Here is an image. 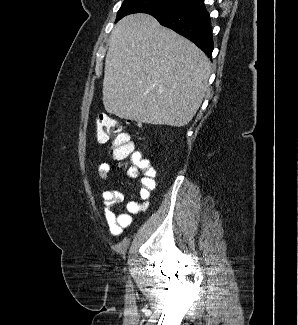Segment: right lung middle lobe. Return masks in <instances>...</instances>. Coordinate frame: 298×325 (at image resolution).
Instances as JSON below:
<instances>
[{
    "mask_svg": "<svg viewBox=\"0 0 298 325\" xmlns=\"http://www.w3.org/2000/svg\"><path fill=\"white\" fill-rule=\"evenodd\" d=\"M194 0H124L117 13L116 22L132 13H147L152 16L173 12Z\"/></svg>",
    "mask_w": 298,
    "mask_h": 325,
    "instance_id": "right-lung-middle-lobe-1",
    "label": "right lung middle lobe"
}]
</instances>
